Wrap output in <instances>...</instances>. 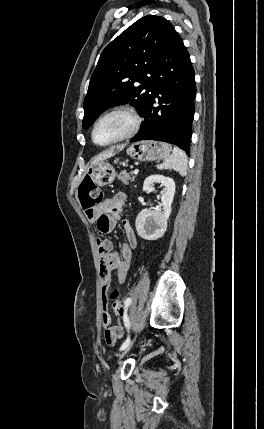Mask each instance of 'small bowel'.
Wrapping results in <instances>:
<instances>
[{
  "label": "small bowel",
  "instance_id": "obj_1",
  "mask_svg": "<svg viewBox=\"0 0 264 429\" xmlns=\"http://www.w3.org/2000/svg\"><path fill=\"white\" fill-rule=\"evenodd\" d=\"M126 196L124 193H117L111 198L105 199L96 206L92 213H86L89 222L96 224L100 232L106 233L114 230L119 222L118 211L122 207ZM126 235V242L120 247L121 257L113 251V245L109 240H97L100 255V281L102 298V324L105 329V341L108 345H114L123 336V327L120 324L112 323V316L108 310V291L111 283V273L116 272L118 281L123 283L131 264L134 251L138 246L136 233L129 223L122 222Z\"/></svg>",
  "mask_w": 264,
  "mask_h": 429
}]
</instances>
